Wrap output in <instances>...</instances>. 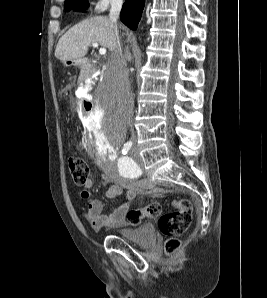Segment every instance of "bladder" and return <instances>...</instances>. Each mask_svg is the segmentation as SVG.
I'll return each mask as SVG.
<instances>
[{"label":"bladder","instance_id":"bladder-1","mask_svg":"<svg viewBox=\"0 0 267 298\" xmlns=\"http://www.w3.org/2000/svg\"><path fill=\"white\" fill-rule=\"evenodd\" d=\"M118 236L140 246H149L155 242L156 236L152 225L145 224L134 229H122Z\"/></svg>","mask_w":267,"mask_h":298}]
</instances>
